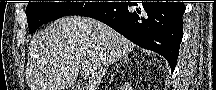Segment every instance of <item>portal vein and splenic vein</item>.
<instances>
[{"mask_svg": "<svg viewBox=\"0 0 216 90\" xmlns=\"http://www.w3.org/2000/svg\"><path fill=\"white\" fill-rule=\"evenodd\" d=\"M83 68H85V66H83ZM83 72H88V70H83Z\"/></svg>", "mask_w": 216, "mask_h": 90, "instance_id": "1", "label": "portal vein and splenic vein"}]
</instances>
